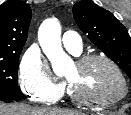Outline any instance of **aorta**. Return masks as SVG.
<instances>
[{"instance_id": "aorta-1", "label": "aorta", "mask_w": 131, "mask_h": 115, "mask_svg": "<svg viewBox=\"0 0 131 115\" xmlns=\"http://www.w3.org/2000/svg\"><path fill=\"white\" fill-rule=\"evenodd\" d=\"M61 27L56 19L45 20L38 32L39 43L44 54L50 60L53 71L61 75L66 66L68 56L61 46Z\"/></svg>"}]
</instances>
